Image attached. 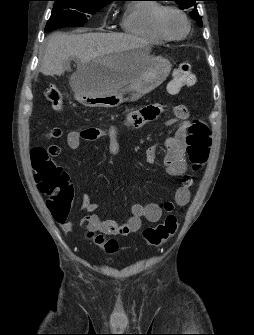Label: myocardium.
I'll list each match as a JSON object with an SVG mask.
<instances>
[{
	"label": "myocardium",
	"instance_id": "myocardium-1",
	"mask_svg": "<svg viewBox=\"0 0 254 335\" xmlns=\"http://www.w3.org/2000/svg\"><path fill=\"white\" fill-rule=\"evenodd\" d=\"M167 11H172V12H176L177 14H179L185 21V24H186V30L185 32L180 35V36H177V37H173V36H170L169 34H167L163 27H162V16L165 12ZM154 28L156 30V32L162 37L164 38L165 40H168V41H179V40H182L184 39L190 32L191 30V22L187 16V14L181 10L180 8L176 7V6H161L155 16H154Z\"/></svg>",
	"mask_w": 254,
	"mask_h": 335
}]
</instances>
